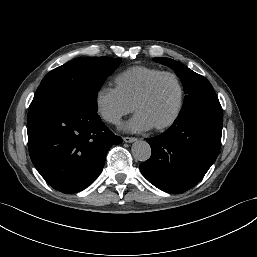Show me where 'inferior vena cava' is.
Wrapping results in <instances>:
<instances>
[{"label":"inferior vena cava","instance_id":"inferior-vena-cava-1","mask_svg":"<svg viewBox=\"0 0 257 257\" xmlns=\"http://www.w3.org/2000/svg\"><path fill=\"white\" fill-rule=\"evenodd\" d=\"M114 120V118H111V121H113Z\"/></svg>","mask_w":257,"mask_h":257}]
</instances>
